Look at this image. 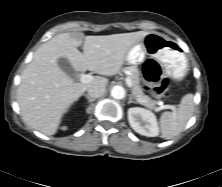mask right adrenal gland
Here are the masks:
<instances>
[{
  "label": "right adrenal gland",
  "instance_id": "right-adrenal-gland-1",
  "mask_svg": "<svg viewBox=\"0 0 222 187\" xmlns=\"http://www.w3.org/2000/svg\"><path fill=\"white\" fill-rule=\"evenodd\" d=\"M84 96L87 98V100H88V102H89V103H91V102H94V101H95V99H94V98L89 97L87 94H85ZM87 112H88V110H87Z\"/></svg>",
  "mask_w": 222,
  "mask_h": 187
}]
</instances>
